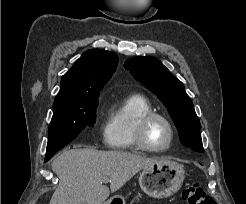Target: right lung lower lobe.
I'll list each match as a JSON object with an SVG mask.
<instances>
[{"label":"right lung lower lobe","instance_id":"98d812e1","mask_svg":"<svg viewBox=\"0 0 246 204\" xmlns=\"http://www.w3.org/2000/svg\"><path fill=\"white\" fill-rule=\"evenodd\" d=\"M49 159L48 158H45V161H48Z\"/></svg>","mask_w":246,"mask_h":204}]
</instances>
